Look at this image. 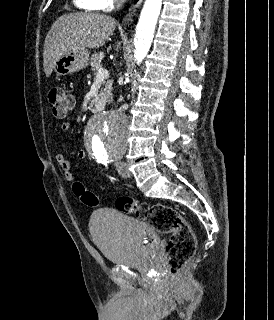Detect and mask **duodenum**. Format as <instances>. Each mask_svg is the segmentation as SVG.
<instances>
[{"label":"duodenum","instance_id":"obj_1","mask_svg":"<svg viewBox=\"0 0 274 320\" xmlns=\"http://www.w3.org/2000/svg\"><path fill=\"white\" fill-rule=\"evenodd\" d=\"M91 108L94 110V111H98V112H101L104 108V105H103V102L100 98H94L92 99L91 101Z\"/></svg>","mask_w":274,"mask_h":320}]
</instances>
